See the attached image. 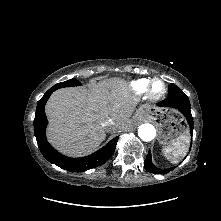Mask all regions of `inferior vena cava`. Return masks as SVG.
Returning <instances> with one entry per match:
<instances>
[{
	"instance_id": "602c4592",
	"label": "inferior vena cava",
	"mask_w": 221,
	"mask_h": 221,
	"mask_svg": "<svg viewBox=\"0 0 221 221\" xmlns=\"http://www.w3.org/2000/svg\"><path fill=\"white\" fill-rule=\"evenodd\" d=\"M102 125L106 128L108 132L115 130L117 128V124L112 119H106Z\"/></svg>"
}]
</instances>
